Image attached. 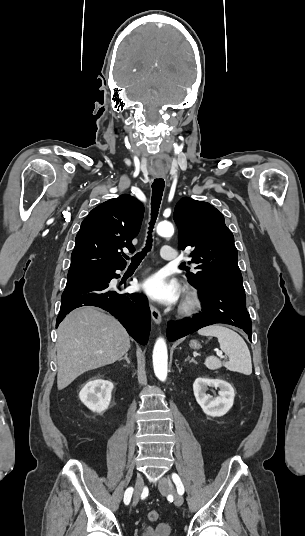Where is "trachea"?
<instances>
[{
	"mask_svg": "<svg viewBox=\"0 0 305 536\" xmlns=\"http://www.w3.org/2000/svg\"><path fill=\"white\" fill-rule=\"evenodd\" d=\"M164 187H165V182L163 178H155V180L152 183V197H151L152 219L150 222L149 232H148V236L146 240V246L141 252L137 253L135 256L131 258L132 263H140L143 260V258L147 255V252H149L152 248L153 239H152L151 231L153 230V226L158 215ZM125 258L127 260L129 259L128 256L126 255H125Z\"/></svg>",
	"mask_w": 305,
	"mask_h": 536,
	"instance_id": "obj_1",
	"label": "trachea"
}]
</instances>
